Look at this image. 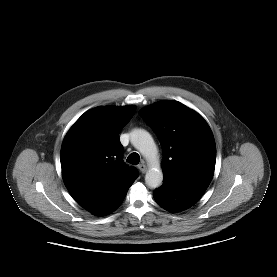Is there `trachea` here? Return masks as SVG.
<instances>
[{
	"label": "trachea",
	"instance_id": "obj_1",
	"mask_svg": "<svg viewBox=\"0 0 277 277\" xmlns=\"http://www.w3.org/2000/svg\"><path fill=\"white\" fill-rule=\"evenodd\" d=\"M140 161V156L138 153H131L128 157H127V162L133 165H137Z\"/></svg>",
	"mask_w": 277,
	"mask_h": 277
}]
</instances>
